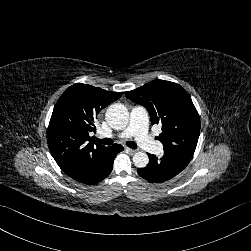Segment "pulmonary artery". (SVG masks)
Returning <instances> with one entry per match:
<instances>
[{"label": "pulmonary artery", "mask_w": 251, "mask_h": 251, "mask_svg": "<svg viewBox=\"0 0 251 251\" xmlns=\"http://www.w3.org/2000/svg\"><path fill=\"white\" fill-rule=\"evenodd\" d=\"M148 112L142 106L135 107L130 115V125L117 134H110V136H117L121 139H128L132 137L135 142L142 146L145 152L149 154H158L162 150V145L158 141H154L150 135L148 127Z\"/></svg>", "instance_id": "1"}]
</instances>
